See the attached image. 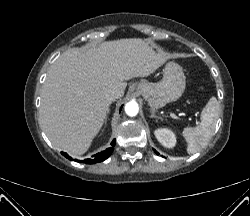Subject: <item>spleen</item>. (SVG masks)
Masks as SVG:
<instances>
[{
  "instance_id": "obj_1",
  "label": "spleen",
  "mask_w": 250,
  "mask_h": 216,
  "mask_svg": "<svg viewBox=\"0 0 250 216\" xmlns=\"http://www.w3.org/2000/svg\"><path fill=\"white\" fill-rule=\"evenodd\" d=\"M219 102L211 97L202 111L201 122L195 127L184 128L182 135L187 142V152L194 154L210 141L219 115Z\"/></svg>"
}]
</instances>
